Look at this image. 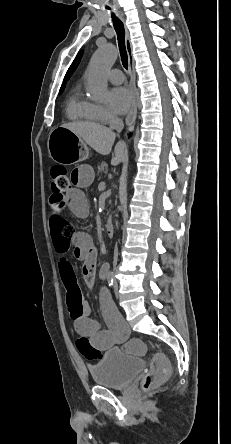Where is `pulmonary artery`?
<instances>
[{
  "mask_svg": "<svg viewBox=\"0 0 231 444\" xmlns=\"http://www.w3.org/2000/svg\"><path fill=\"white\" fill-rule=\"evenodd\" d=\"M108 78L113 84H120L124 81V74L120 69H113L109 72Z\"/></svg>",
  "mask_w": 231,
  "mask_h": 444,
  "instance_id": "e3ab8cb5",
  "label": "pulmonary artery"
}]
</instances>
